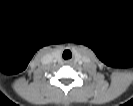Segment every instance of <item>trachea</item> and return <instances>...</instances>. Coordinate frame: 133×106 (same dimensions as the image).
Here are the masks:
<instances>
[{"label":"trachea","mask_w":133,"mask_h":106,"mask_svg":"<svg viewBox=\"0 0 133 106\" xmlns=\"http://www.w3.org/2000/svg\"><path fill=\"white\" fill-rule=\"evenodd\" d=\"M65 54H71V52H70L69 50H66V51H64L63 56H64Z\"/></svg>","instance_id":"trachea-1"}]
</instances>
